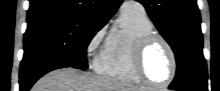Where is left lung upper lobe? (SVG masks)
<instances>
[{
	"label": "left lung upper lobe",
	"instance_id": "left-lung-upper-lobe-1",
	"mask_svg": "<svg viewBox=\"0 0 220 91\" xmlns=\"http://www.w3.org/2000/svg\"><path fill=\"white\" fill-rule=\"evenodd\" d=\"M173 49L176 76L169 87L207 89V68L202 53L201 19L196 0H138Z\"/></svg>",
	"mask_w": 220,
	"mask_h": 91
}]
</instances>
